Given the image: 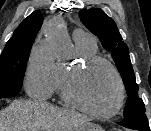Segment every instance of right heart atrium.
Here are the masks:
<instances>
[{"instance_id":"right-heart-atrium-1","label":"right heart atrium","mask_w":151,"mask_h":131,"mask_svg":"<svg viewBox=\"0 0 151 131\" xmlns=\"http://www.w3.org/2000/svg\"><path fill=\"white\" fill-rule=\"evenodd\" d=\"M58 63L49 52L34 50L30 55L26 72L27 93L37 99L50 97L57 87Z\"/></svg>"}]
</instances>
